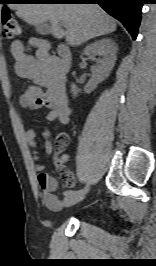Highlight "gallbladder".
<instances>
[{"label":"gallbladder","mask_w":156,"mask_h":266,"mask_svg":"<svg viewBox=\"0 0 156 266\" xmlns=\"http://www.w3.org/2000/svg\"><path fill=\"white\" fill-rule=\"evenodd\" d=\"M35 30L41 35H47L51 32V26L48 22H43L36 25Z\"/></svg>","instance_id":"obj_1"}]
</instances>
